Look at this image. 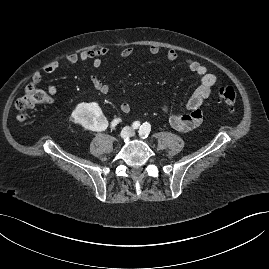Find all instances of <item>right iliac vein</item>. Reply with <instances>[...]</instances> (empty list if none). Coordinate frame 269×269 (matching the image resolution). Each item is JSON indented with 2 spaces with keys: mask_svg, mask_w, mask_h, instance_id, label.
Returning a JSON list of instances; mask_svg holds the SVG:
<instances>
[{
  "mask_svg": "<svg viewBox=\"0 0 269 269\" xmlns=\"http://www.w3.org/2000/svg\"><path fill=\"white\" fill-rule=\"evenodd\" d=\"M131 133V129L129 127H124L120 133V137L122 139L127 138Z\"/></svg>",
  "mask_w": 269,
  "mask_h": 269,
  "instance_id": "obj_1",
  "label": "right iliac vein"
}]
</instances>
